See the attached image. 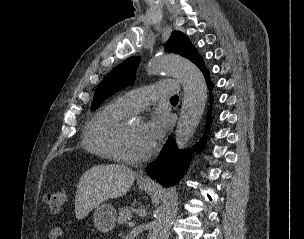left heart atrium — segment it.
<instances>
[{"label":"left heart atrium","mask_w":304,"mask_h":239,"mask_svg":"<svg viewBox=\"0 0 304 239\" xmlns=\"http://www.w3.org/2000/svg\"><path fill=\"white\" fill-rule=\"evenodd\" d=\"M168 127V119L162 111H156L144 125L141 143L146 152L154 150L162 140Z\"/></svg>","instance_id":"39dd6f15"}]
</instances>
